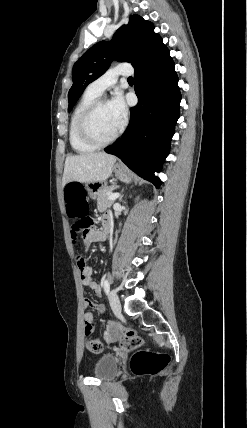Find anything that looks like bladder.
Instances as JSON below:
<instances>
[{"mask_svg": "<svg viewBox=\"0 0 247 428\" xmlns=\"http://www.w3.org/2000/svg\"><path fill=\"white\" fill-rule=\"evenodd\" d=\"M117 370V358L112 354H103L97 359L93 368V374L100 380H110L115 377Z\"/></svg>", "mask_w": 247, "mask_h": 428, "instance_id": "1", "label": "bladder"}]
</instances>
